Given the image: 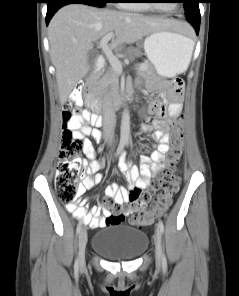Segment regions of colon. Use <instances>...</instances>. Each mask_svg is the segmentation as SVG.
Masks as SVG:
<instances>
[{
	"mask_svg": "<svg viewBox=\"0 0 239 296\" xmlns=\"http://www.w3.org/2000/svg\"><path fill=\"white\" fill-rule=\"evenodd\" d=\"M82 108L74 101L69 100L65 103L63 109L64 133L60 147V161L57 165L56 172V189L63 203L71 210L76 211L77 200L79 195V175L81 170L80 153L84 149V141L81 137L76 136L70 123L77 120L79 126L84 127L85 121L82 119ZM171 151L168 156L169 170L164 173L159 181L152 185L150 191L140 192L136 194V199L132 203L134 214L130 221L137 225H148L152 222L154 214L162 213L171 205L172 200L179 189V178L176 174V164L180 157L183 145L184 134L182 127L177 122L171 132L170 137ZM156 191H159L155 194ZM141 197L142 202L153 199V206L150 210L135 213L140 206L141 201L137 199ZM103 204L109 211L106 218V225L119 224L125 219L120 212V206L114 201L104 200Z\"/></svg>",
	"mask_w": 239,
	"mask_h": 296,
	"instance_id": "obj_1",
	"label": "colon"
}]
</instances>
